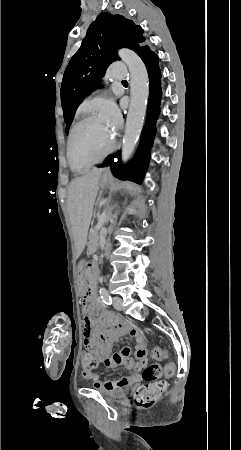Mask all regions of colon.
Segmentation results:
<instances>
[{
  "instance_id": "5ec220e1",
  "label": "colon",
  "mask_w": 241,
  "mask_h": 450,
  "mask_svg": "<svg viewBox=\"0 0 241 450\" xmlns=\"http://www.w3.org/2000/svg\"><path fill=\"white\" fill-rule=\"evenodd\" d=\"M151 356L155 360H163L167 357V350L158 346H153L150 349ZM83 358L82 370L94 371L95 366L98 364V359L93 357L88 350L81 352ZM175 366L172 363H168L165 366V374L172 376L174 374ZM159 366L157 364L147 365L142 372L144 380L154 382L159 377ZM167 388V383L159 381L155 384L141 385L134 394L135 406L140 410H149L153 408L160 398L161 393Z\"/></svg>"
}]
</instances>
